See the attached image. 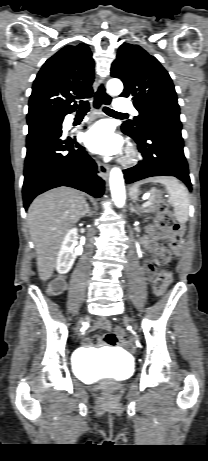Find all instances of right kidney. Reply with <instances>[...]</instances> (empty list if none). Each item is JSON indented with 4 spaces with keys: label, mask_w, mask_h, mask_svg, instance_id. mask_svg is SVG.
<instances>
[{
    "label": "right kidney",
    "mask_w": 208,
    "mask_h": 461,
    "mask_svg": "<svg viewBox=\"0 0 208 461\" xmlns=\"http://www.w3.org/2000/svg\"><path fill=\"white\" fill-rule=\"evenodd\" d=\"M77 238V229L73 228L67 232L62 242L56 260V270L60 274H66L72 268L77 255L83 252L82 246L74 249V242Z\"/></svg>",
    "instance_id": "1"
}]
</instances>
